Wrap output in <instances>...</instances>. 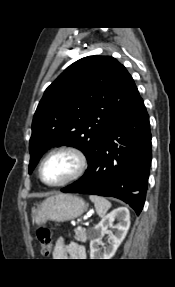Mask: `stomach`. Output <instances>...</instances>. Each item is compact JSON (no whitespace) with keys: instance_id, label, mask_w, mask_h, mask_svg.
Returning a JSON list of instances; mask_svg holds the SVG:
<instances>
[{"instance_id":"0dacf381","label":"stomach","mask_w":175,"mask_h":287,"mask_svg":"<svg viewBox=\"0 0 175 287\" xmlns=\"http://www.w3.org/2000/svg\"><path fill=\"white\" fill-rule=\"evenodd\" d=\"M87 209L85 201L72 194H56L45 199L33 212L37 224L48 220L66 222L81 216Z\"/></svg>"}]
</instances>
